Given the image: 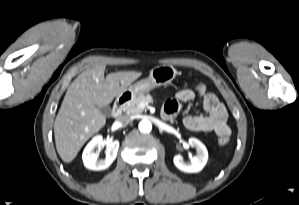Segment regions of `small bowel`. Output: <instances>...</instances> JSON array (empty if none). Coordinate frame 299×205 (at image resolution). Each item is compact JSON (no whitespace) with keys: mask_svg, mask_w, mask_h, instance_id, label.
I'll return each instance as SVG.
<instances>
[{"mask_svg":"<svg viewBox=\"0 0 299 205\" xmlns=\"http://www.w3.org/2000/svg\"><path fill=\"white\" fill-rule=\"evenodd\" d=\"M195 93L191 89H182L174 99L166 101L163 114L172 118L182 111V104L193 100ZM203 107L207 115L185 114L184 126L192 131L213 132L217 136L230 134L227 124V111L219 99L211 93L203 95Z\"/></svg>","mask_w":299,"mask_h":205,"instance_id":"small-bowel-1","label":"small bowel"}]
</instances>
